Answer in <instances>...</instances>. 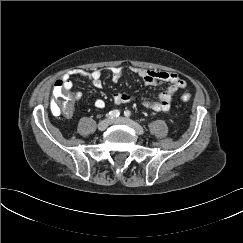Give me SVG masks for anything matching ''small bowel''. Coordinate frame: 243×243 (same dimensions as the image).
<instances>
[{"label": "small bowel", "mask_w": 243, "mask_h": 243, "mask_svg": "<svg viewBox=\"0 0 243 243\" xmlns=\"http://www.w3.org/2000/svg\"><path fill=\"white\" fill-rule=\"evenodd\" d=\"M133 73L138 75L144 84L146 85H161L168 84V87L157 94L156 99L141 98L142 104L154 111H166L170 108L174 94L186 87L185 80L174 72L165 71H150L141 68L131 69ZM112 81L117 83L123 76L124 69L122 67H111L110 68ZM72 75H81L87 77L91 84L95 88L102 86V71L99 69L91 72L76 70L71 73L64 74L58 81L62 82L65 90H71L73 82L71 80ZM75 101L82 98V93L77 92L74 94ZM113 100L118 105L127 104L132 101V96L128 93H116L113 96ZM95 107L102 109L105 107V101L103 99H97L94 103Z\"/></svg>", "instance_id": "c3829d8e"}]
</instances>
